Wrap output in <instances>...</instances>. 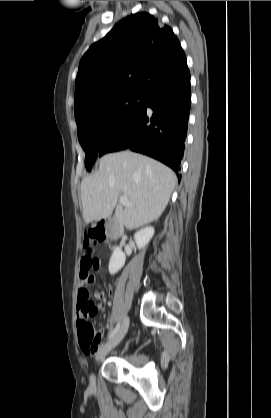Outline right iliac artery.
I'll return each mask as SVG.
<instances>
[{"label": "right iliac artery", "instance_id": "82829eb1", "mask_svg": "<svg viewBox=\"0 0 271 418\" xmlns=\"http://www.w3.org/2000/svg\"><path fill=\"white\" fill-rule=\"evenodd\" d=\"M120 328V323L116 325V327L113 329V331L108 335V339H111L115 336V334L118 332Z\"/></svg>", "mask_w": 271, "mask_h": 418}]
</instances>
